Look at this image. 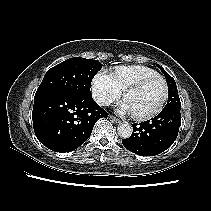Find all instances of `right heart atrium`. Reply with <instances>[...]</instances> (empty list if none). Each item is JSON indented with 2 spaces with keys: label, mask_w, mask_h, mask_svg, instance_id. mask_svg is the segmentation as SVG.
Segmentation results:
<instances>
[{
  "label": "right heart atrium",
  "mask_w": 211,
  "mask_h": 211,
  "mask_svg": "<svg viewBox=\"0 0 211 211\" xmlns=\"http://www.w3.org/2000/svg\"><path fill=\"white\" fill-rule=\"evenodd\" d=\"M91 91L93 98L101 106L111 105L121 97L123 92L113 75L105 70H100L94 75Z\"/></svg>",
  "instance_id": "right-heart-atrium-1"
}]
</instances>
